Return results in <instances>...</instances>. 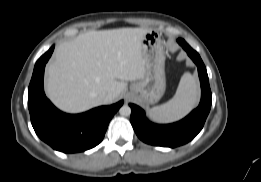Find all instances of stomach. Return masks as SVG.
Returning a JSON list of instances; mask_svg holds the SVG:
<instances>
[{"label":"stomach","instance_id":"0dacf381","mask_svg":"<svg viewBox=\"0 0 261 182\" xmlns=\"http://www.w3.org/2000/svg\"><path fill=\"white\" fill-rule=\"evenodd\" d=\"M145 75L131 87L133 96L144 105L157 103L166 89L165 55L160 35L151 30L141 42Z\"/></svg>","mask_w":261,"mask_h":182}]
</instances>
